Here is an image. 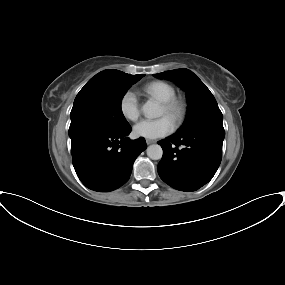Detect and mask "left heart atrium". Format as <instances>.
<instances>
[{
	"label": "left heart atrium",
	"instance_id": "left-heart-atrium-1",
	"mask_svg": "<svg viewBox=\"0 0 285 285\" xmlns=\"http://www.w3.org/2000/svg\"><path fill=\"white\" fill-rule=\"evenodd\" d=\"M175 128L171 117L164 115L158 119H145L134 126V134L137 137L156 139L173 132Z\"/></svg>",
	"mask_w": 285,
	"mask_h": 285
}]
</instances>
